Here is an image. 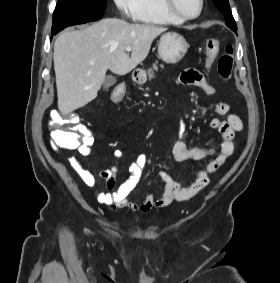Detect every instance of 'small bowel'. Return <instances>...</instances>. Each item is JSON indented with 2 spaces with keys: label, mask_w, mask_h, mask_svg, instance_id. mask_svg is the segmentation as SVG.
Segmentation results:
<instances>
[{
  "label": "small bowel",
  "mask_w": 280,
  "mask_h": 283,
  "mask_svg": "<svg viewBox=\"0 0 280 283\" xmlns=\"http://www.w3.org/2000/svg\"><path fill=\"white\" fill-rule=\"evenodd\" d=\"M181 81L188 85H193L199 88L207 96H213L215 89L209 83L208 79L200 72L188 70L181 76ZM213 111L224 118H214L211 121V128L217 130L221 134L220 151L215 158L209 161L206 166L200 169L195 177L185 186L180 182L174 181L165 171L158 173L159 178L164 182V191L158 198L148 194L141 203L131 201L130 194L137 185L141 173L148 163V158L145 154H139L135 160L129 165V177L116 188V174L118 167L113 165L109 168L93 174L88 170L77 157H71L69 162L72 168L77 172L83 183L88 187L96 185L97 178H101L106 182L107 192H100L97 199L100 203L110 206L111 208L130 209L132 211L143 214L149 213L152 210L160 209L168 206L174 201H185L194 197L197 193L203 190L209 183V175L215 173L232 155L234 150L233 140L235 133L243 130V122L241 119L232 113H228L229 106L226 103H216L213 106ZM80 145L76 148L79 155L86 157L91 154V147L95 142L94 135L89 132H80ZM173 157L178 162L186 160H202L215 154V150L204 146H189V139L185 137L182 129H179L178 138L175 141L172 149ZM122 156L120 150L114 152V157L119 159Z\"/></svg>",
  "instance_id": "small-bowel-1"
}]
</instances>
